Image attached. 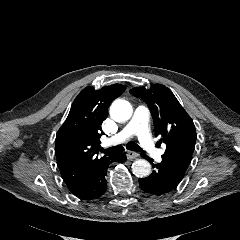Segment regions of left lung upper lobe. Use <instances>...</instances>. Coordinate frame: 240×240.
<instances>
[{
    "label": "left lung upper lobe",
    "instance_id": "5c2ea615",
    "mask_svg": "<svg viewBox=\"0 0 240 240\" xmlns=\"http://www.w3.org/2000/svg\"><path fill=\"white\" fill-rule=\"evenodd\" d=\"M130 93L145 101L152 112L156 135L161 136L159 143L166 144L162 162L185 174L197 138L193 120L164 85L154 84L150 89L136 87Z\"/></svg>",
    "mask_w": 240,
    "mask_h": 240
}]
</instances>
